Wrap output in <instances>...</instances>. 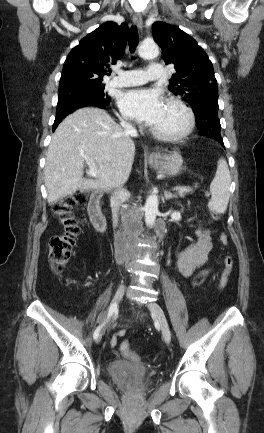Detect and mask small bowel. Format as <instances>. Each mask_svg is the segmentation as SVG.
Segmentation results:
<instances>
[{
  "mask_svg": "<svg viewBox=\"0 0 264 433\" xmlns=\"http://www.w3.org/2000/svg\"><path fill=\"white\" fill-rule=\"evenodd\" d=\"M196 240L182 250L176 257V268L183 277H190L196 268L203 266L209 258L212 249L210 233L198 229ZM124 331L118 332L110 341L111 346L117 344V339L124 335Z\"/></svg>",
  "mask_w": 264,
  "mask_h": 433,
  "instance_id": "1",
  "label": "small bowel"
}]
</instances>
